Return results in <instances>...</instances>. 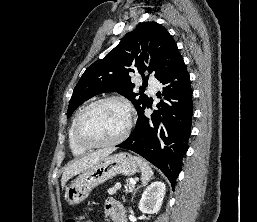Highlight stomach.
<instances>
[{"mask_svg": "<svg viewBox=\"0 0 257 222\" xmlns=\"http://www.w3.org/2000/svg\"><path fill=\"white\" fill-rule=\"evenodd\" d=\"M135 157L123 152L108 155L76 177L66 188L65 199L69 205L84 201L95 187L118 174L132 176L139 171Z\"/></svg>", "mask_w": 257, "mask_h": 222, "instance_id": "stomach-1", "label": "stomach"}]
</instances>
